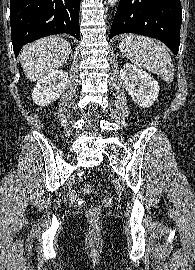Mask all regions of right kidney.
I'll return each mask as SVG.
<instances>
[{"label":"right kidney","instance_id":"right-kidney-1","mask_svg":"<svg viewBox=\"0 0 195 270\" xmlns=\"http://www.w3.org/2000/svg\"><path fill=\"white\" fill-rule=\"evenodd\" d=\"M68 73L56 70L41 78L33 89L32 99L36 105L46 106L57 100L65 89Z\"/></svg>","mask_w":195,"mask_h":270}]
</instances>
